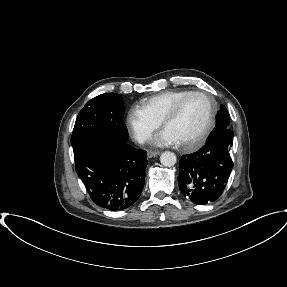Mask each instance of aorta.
I'll use <instances>...</instances> for the list:
<instances>
[{
  "label": "aorta",
  "instance_id": "762f6f07",
  "mask_svg": "<svg viewBox=\"0 0 287 287\" xmlns=\"http://www.w3.org/2000/svg\"><path fill=\"white\" fill-rule=\"evenodd\" d=\"M160 162L165 167H172L177 162V157L173 152L165 151L160 156Z\"/></svg>",
  "mask_w": 287,
  "mask_h": 287
}]
</instances>
